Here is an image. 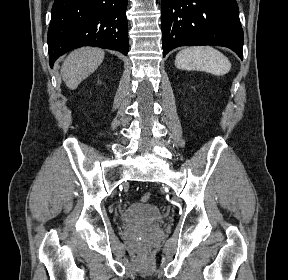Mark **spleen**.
Returning a JSON list of instances; mask_svg holds the SVG:
<instances>
[{"instance_id": "spleen-1", "label": "spleen", "mask_w": 288, "mask_h": 280, "mask_svg": "<svg viewBox=\"0 0 288 280\" xmlns=\"http://www.w3.org/2000/svg\"><path fill=\"white\" fill-rule=\"evenodd\" d=\"M175 66L183 70L206 71L213 75H225L231 69L229 59L211 46L183 49L176 55Z\"/></svg>"}]
</instances>
